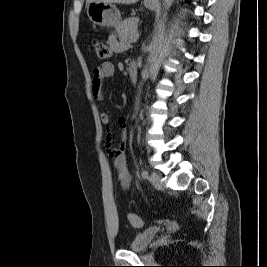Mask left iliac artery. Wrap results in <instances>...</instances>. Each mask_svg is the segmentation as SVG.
<instances>
[{
	"label": "left iliac artery",
	"instance_id": "obj_1",
	"mask_svg": "<svg viewBox=\"0 0 267 267\" xmlns=\"http://www.w3.org/2000/svg\"><path fill=\"white\" fill-rule=\"evenodd\" d=\"M148 175H149L148 171L146 169H142V171H141L142 178L148 179Z\"/></svg>",
	"mask_w": 267,
	"mask_h": 267
}]
</instances>
